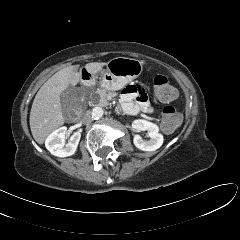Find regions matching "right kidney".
I'll return each mask as SVG.
<instances>
[{
	"label": "right kidney",
	"mask_w": 240,
	"mask_h": 240,
	"mask_svg": "<svg viewBox=\"0 0 240 240\" xmlns=\"http://www.w3.org/2000/svg\"><path fill=\"white\" fill-rule=\"evenodd\" d=\"M67 127L63 126L53 131L46 139L45 146L51 154L57 157H67L75 153L79 144L81 134L75 132L65 144Z\"/></svg>",
	"instance_id": "1"
}]
</instances>
